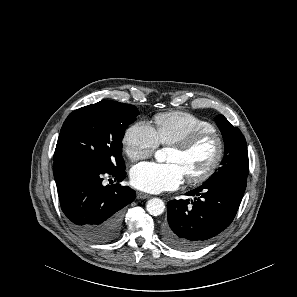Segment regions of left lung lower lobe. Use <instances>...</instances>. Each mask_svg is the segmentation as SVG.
<instances>
[{"instance_id":"left-lung-lower-lobe-1","label":"left lung lower lobe","mask_w":297,"mask_h":297,"mask_svg":"<svg viewBox=\"0 0 297 297\" xmlns=\"http://www.w3.org/2000/svg\"><path fill=\"white\" fill-rule=\"evenodd\" d=\"M247 179L208 180L186 195L194 200L168 202V223L163 239L170 247L194 251L205 246L233 221L246 188Z\"/></svg>"}]
</instances>
